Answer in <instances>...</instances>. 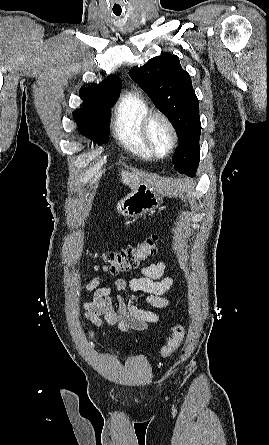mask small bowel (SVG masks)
I'll return each mask as SVG.
<instances>
[{
    "mask_svg": "<svg viewBox=\"0 0 269 445\" xmlns=\"http://www.w3.org/2000/svg\"><path fill=\"white\" fill-rule=\"evenodd\" d=\"M167 263L161 259L156 263L144 265L139 270V276L129 281L118 278L114 282L117 292L116 304L112 301L111 287H98L101 276L91 278L83 287V292L93 293L91 301L84 302V316L97 326H116L122 331H143L150 324L157 323L159 315L151 310L137 306L136 301L143 298L155 309H164L170 305L165 294L174 283V272L166 273ZM127 289L131 294L125 296ZM89 337L94 336L92 329L84 327Z\"/></svg>",
    "mask_w": 269,
    "mask_h": 445,
    "instance_id": "small-bowel-1",
    "label": "small bowel"
}]
</instances>
